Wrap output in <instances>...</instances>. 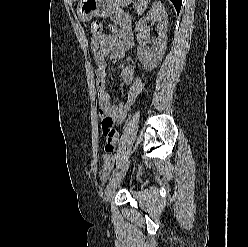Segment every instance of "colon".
Here are the masks:
<instances>
[{
    "mask_svg": "<svg viewBox=\"0 0 248 247\" xmlns=\"http://www.w3.org/2000/svg\"><path fill=\"white\" fill-rule=\"evenodd\" d=\"M91 30L93 35L101 36L103 34L102 24L98 21H94L91 25ZM144 88V84L141 78H137L134 80L133 84L130 87V90L127 94L126 100L123 103V106L119 112L116 124L121 125L125 122L129 111L136 103L137 99L141 95Z\"/></svg>",
    "mask_w": 248,
    "mask_h": 247,
    "instance_id": "colon-1",
    "label": "colon"
}]
</instances>
